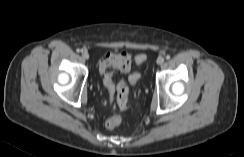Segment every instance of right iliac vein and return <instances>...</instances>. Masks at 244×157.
Returning a JSON list of instances; mask_svg holds the SVG:
<instances>
[{"mask_svg": "<svg viewBox=\"0 0 244 157\" xmlns=\"http://www.w3.org/2000/svg\"><path fill=\"white\" fill-rule=\"evenodd\" d=\"M82 57H83L85 60H87V59H89V54H88L87 52H83V53H82Z\"/></svg>", "mask_w": 244, "mask_h": 157, "instance_id": "1", "label": "right iliac vein"}]
</instances>
